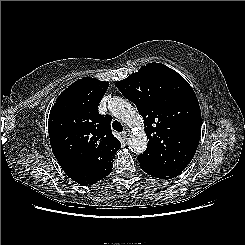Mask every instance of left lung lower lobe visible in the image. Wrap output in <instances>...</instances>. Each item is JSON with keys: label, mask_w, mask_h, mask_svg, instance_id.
<instances>
[{"label": "left lung lower lobe", "mask_w": 245, "mask_h": 245, "mask_svg": "<svg viewBox=\"0 0 245 245\" xmlns=\"http://www.w3.org/2000/svg\"><path fill=\"white\" fill-rule=\"evenodd\" d=\"M145 172L148 173L149 175L154 176V177L159 178V179H171V177H164V176H162L158 173H155V172H150V171H145Z\"/></svg>", "instance_id": "1"}]
</instances>
